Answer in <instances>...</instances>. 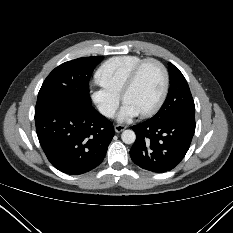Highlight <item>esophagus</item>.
Here are the masks:
<instances>
[{
    "mask_svg": "<svg viewBox=\"0 0 233 233\" xmlns=\"http://www.w3.org/2000/svg\"><path fill=\"white\" fill-rule=\"evenodd\" d=\"M114 129H115V132L120 133V132H122L123 130H125L126 127H125L124 125H116V126L114 127Z\"/></svg>",
    "mask_w": 233,
    "mask_h": 233,
    "instance_id": "34e87169",
    "label": "esophagus"
}]
</instances>
